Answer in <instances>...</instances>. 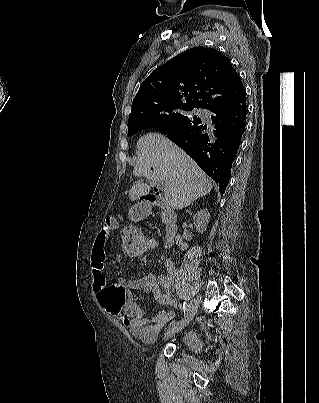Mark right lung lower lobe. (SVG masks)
<instances>
[{"label": "right lung lower lobe", "mask_w": 319, "mask_h": 403, "mask_svg": "<svg viewBox=\"0 0 319 403\" xmlns=\"http://www.w3.org/2000/svg\"><path fill=\"white\" fill-rule=\"evenodd\" d=\"M245 101L210 109L214 124L211 130L207 131V125L200 120L189 127L164 132L217 183L221 194L228 185L231 166L246 126Z\"/></svg>", "instance_id": "1"}]
</instances>
